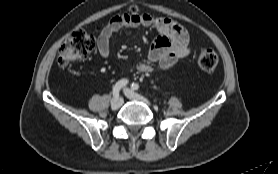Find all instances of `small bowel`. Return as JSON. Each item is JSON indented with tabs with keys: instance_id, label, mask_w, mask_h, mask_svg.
Returning <instances> with one entry per match:
<instances>
[{
	"instance_id": "c3829d8e",
	"label": "small bowel",
	"mask_w": 278,
	"mask_h": 174,
	"mask_svg": "<svg viewBox=\"0 0 278 174\" xmlns=\"http://www.w3.org/2000/svg\"><path fill=\"white\" fill-rule=\"evenodd\" d=\"M137 27L153 28L158 33L151 44L149 59L163 71L171 69L179 59L190 53L189 35L182 25L166 17L131 13L115 16L100 30L97 49L101 57L109 58L110 39L113 34L123 28ZM137 69L142 73H150L153 70L152 66L146 63H139Z\"/></svg>"
}]
</instances>
